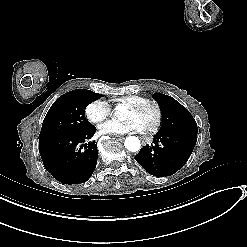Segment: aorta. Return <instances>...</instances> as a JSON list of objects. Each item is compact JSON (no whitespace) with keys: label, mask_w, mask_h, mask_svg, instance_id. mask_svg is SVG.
I'll list each match as a JSON object with an SVG mask.
<instances>
[{"label":"aorta","mask_w":247,"mask_h":247,"mask_svg":"<svg viewBox=\"0 0 247 247\" xmlns=\"http://www.w3.org/2000/svg\"><path fill=\"white\" fill-rule=\"evenodd\" d=\"M114 114L115 116L120 120H124L126 117V114L128 112V109L126 106L120 104L117 105L114 109ZM124 146L127 150H129L130 152H137L140 150L141 144H140V140L138 139V137L135 136H128L125 139L124 142Z\"/></svg>","instance_id":"obj_1"}]
</instances>
